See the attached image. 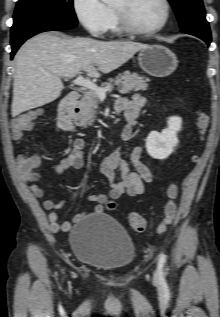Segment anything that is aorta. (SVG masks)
I'll return each instance as SVG.
<instances>
[{
    "label": "aorta",
    "instance_id": "1",
    "mask_svg": "<svg viewBox=\"0 0 220 317\" xmlns=\"http://www.w3.org/2000/svg\"><path fill=\"white\" fill-rule=\"evenodd\" d=\"M104 3H113L115 0H102Z\"/></svg>",
    "mask_w": 220,
    "mask_h": 317
}]
</instances>
